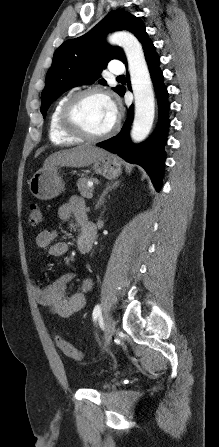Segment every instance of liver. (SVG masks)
<instances>
[{"label": "liver", "instance_id": "1", "mask_svg": "<svg viewBox=\"0 0 219 447\" xmlns=\"http://www.w3.org/2000/svg\"><path fill=\"white\" fill-rule=\"evenodd\" d=\"M105 151L103 149L81 145L71 149L61 150L51 154L43 164V168L52 166H67V167H84L91 165L94 160L102 155Z\"/></svg>", "mask_w": 219, "mask_h": 447}]
</instances>
